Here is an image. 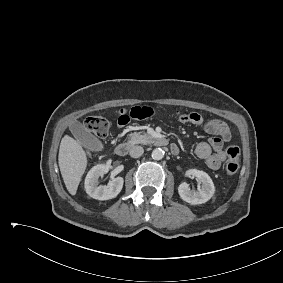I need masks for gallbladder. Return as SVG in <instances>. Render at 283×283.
Returning <instances> with one entry per match:
<instances>
[{
  "instance_id": "bac80fb5",
  "label": "gallbladder",
  "mask_w": 283,
  "mask_h": 283,
  "mask_svg": "<svg viewBox=\"0 0 283 283\" xmlns=\"http://www.w3.org/2000/svg\"><path fill=\"white\" fill-rule=\"evenodd\" d=\"M70 131L77 141L91 151H101L104 146L102 142L85 128L80 122L76 121L70 125Z\"/></svg>"
}]
</instances>
